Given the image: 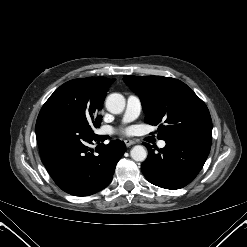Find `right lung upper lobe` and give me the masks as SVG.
<instances>
[{"mask_svg":"<svg viewBox=\"0 0 247 247\" xmlns=\"http://www.w3.org/2000/svg\"><path fill=\"white\" fill-rule=\"evenodd\" d=\"M85 83H87L89 86H91L93 89L96 90L98 94L103 96L105 98L106 93L111 86V84L115 81V79H108L104 77H88L82 79Z\"/></svg>","mask_w":247,"mask_h":247,"instance_id":"obj_1","label":"right lung upper lobe"}]
</instances>
